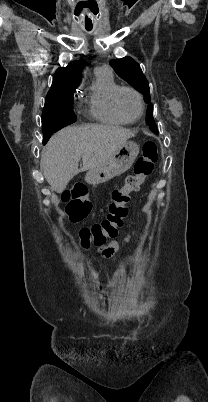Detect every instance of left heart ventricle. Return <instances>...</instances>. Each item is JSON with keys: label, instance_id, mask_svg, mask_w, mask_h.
I'll return each instance as SVG.
<instances>
[{"label": "left heart ventricle", "instance_id": "obj_1", "mask_svg": "<svg viewBox=\"0 0 208 402\" xmlns=\"http://www.w3.org/2000/svg\"><path fill=\"white\" fill-rule=\"evenodd\" d=\"M118 106L120 111L127 117L135 118L140 112V103L138 98L131 92H122L118 97Z\"/></svg>", "mask_w": 208, "mask_h": 402}]
</instances>
